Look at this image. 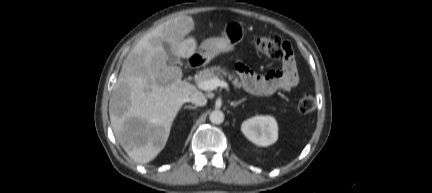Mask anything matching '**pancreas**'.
Wrapping results in <instances>:
<instances>
[{
    "instance_id": "pancreas-1",
    "label": "pancreas",
    "mask_w": 432,
    "mask_h": 193,
    "mask_svg": "<svg viewBox=\"0 0 432 193\" xmlns=\"http://www.w3.org/2000/svg\"><path fill=\"white\" fill-rule=\"evenodd\" d=\"M230 80H233V84L236 87H240L241 84L238 81V78L236 77V75L234 73H229L226 68H223L221 66H213L211 68H207L204 69L203 71H200L196 76L195 79L197 82H201V81H205V80H210L213 78H221L223 79L224 77H227Z\"/></svg>"
}]
</instances>
